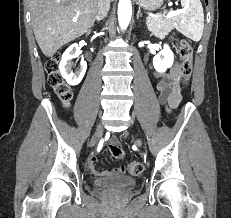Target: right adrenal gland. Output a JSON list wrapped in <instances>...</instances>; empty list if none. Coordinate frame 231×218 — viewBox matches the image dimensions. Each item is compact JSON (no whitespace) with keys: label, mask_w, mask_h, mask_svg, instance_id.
Segmentation results:
<instances>
[{"label":"right adrenal gland","mask_w":231,"mask_h":218,"mask_svg":"<svg viewBox=\"0 0 231 218\" xmlns=\"http://www.w3.org/2000/svg\"><path fill=\"white\" fill-rule=\"evenodd\" d=\"M101 20H102V18L96 17V18L94 19V22H100ZM94 22H93L92 26L94 25Z\"/></svg>","instance_id":"obj_1"}]
</instances>
